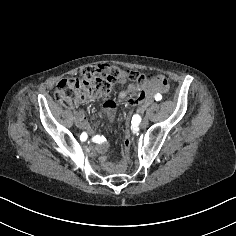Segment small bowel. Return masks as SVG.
Here are the masks:
<instances>
[{"mask_svg": "<svg viewBox=\"0 0 236 236\" xmlns=\"http://www.w3.org/2000/svg\"><path fill=\"white\" fill-rule=\"evenodd\" d=\"M126 79L124 77L120 78L121 83H125ZM167 89L166 85H158L155 83L145 85L144 83H131L126 86V88L120 92L119 99L120 102L126 105L140 104L141 110L146 108L150 102L152 95L156 91H165ZM116 103L113 100L106 99L103 104L102 116L108 120H112L115 115ZM74 119L78 127L87 130L93 134L94 149L97 153L101 154L99 162L101 166L109 173L117 174L124 170L125 160L118 163L113 162L107 156L109 146L106 139L101 135H95L92 128L90 127L84 112L82 110H77L74 114Z\"/></svg>", "mask_w": 236, "mask_h": 236, "instance_id": "obj_1", "label": "small bowel"}]
</instances>
